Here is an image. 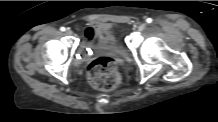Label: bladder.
I'll use <instances>...</instances> for the list:
<instances>
[{
	"label": "bladder",
	"mask_w": 218,
	"mask_h": 122,
	"mask_svg": "<svg viewBox=\"0 0 218 122\" xmlns=\"http://www.w3.org/2000/svg\"><path fill=\"white\" fill-rule=\"evenodd\" d=\"M84 44L94 50L126 54V49L120 44L117 35L106 25L95 27L93 38L85 39Z\"/></svg>",
	"instance_id": "31cf9c89"
}]
</instances>
